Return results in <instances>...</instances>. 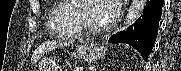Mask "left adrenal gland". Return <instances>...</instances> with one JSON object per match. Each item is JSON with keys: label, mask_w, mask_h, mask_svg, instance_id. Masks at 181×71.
I'll list each match as a JSON object with an SVG mask.
<instances>
[{"label": "left adrenal gland", "mask_w": 181, "mask_h": 71, "mask_svg": "<svg viewBox=\"0 0 181 71\" xmlns=\"http://www.w3.org/2000/svg\"><path fill=\"white\" fill-rule=\"evenodd\" d=\"M97 68H98V66H97ZM94 71H97V69L95 68Z\"/></svg>", "instance_id": "obj_1"}]
</instances>
